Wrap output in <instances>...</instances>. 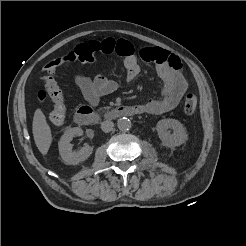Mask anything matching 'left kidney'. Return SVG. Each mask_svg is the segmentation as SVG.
Returning <instances> with one entry per match:
<instances>
[{
	"instance_id": "1",
	"label": "left kidney",
	"mask_w": 246,
	"mask_h": 246,
	"mask_svg": "<svg viewBox=\"0 0 246 246\" xmlns=\"http://www.w3.org/2000/svg\"><path fill=\"white\" fill-rule=\"evenodd\" d=\"M169 128L173 130L172 134L168 131ZM156 130L162 144L168 148L180 146L188 139L186 128L176 119L168 118L158 121Z\"/></svg>"
}]
</instances>
